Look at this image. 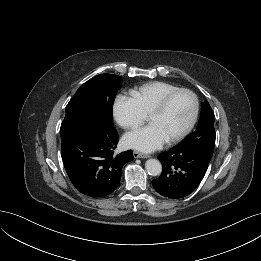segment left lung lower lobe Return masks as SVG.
I'll list each match as a JSON object with an SVG mask.
<instances>
[{
    "label": "left lung lower lobe",
    "mask_w": 261,
    "mask_h": 261,
    "mask_svg": "<svg viewBox=\"0 0 261 261\" xmlns=\"http://www.w3.org/2000/svg\"><path fill=\"white\" fill-rule=\"evenodd\" d=\"M161 175L152 180L154 189L162 196L172 199L191 194L202 181L211 157L195 148L176 145L161 153Z\"/></svg>",
    "instance_id": "1"
}]
</instances>
